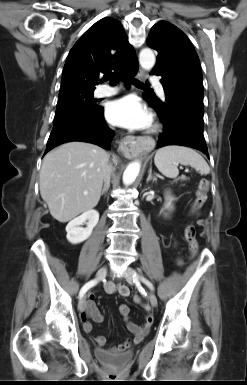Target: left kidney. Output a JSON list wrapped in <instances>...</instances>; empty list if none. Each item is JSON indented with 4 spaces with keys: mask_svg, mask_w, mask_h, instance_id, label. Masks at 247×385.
Listing matches in <instances>:
<instances>
[{
    "mask_svg": "<svg viewBox=\"0 0 247 385\" xmlns=\"http://www.w3.org/2000/svg\"><path fill=\"white\" fill-rule=\"evenodd\" d=\"M165 200H166L165 205H164L165 209L172 210V208H173V206H172L173 198L169 194H166L165 195Z\"/></svg>",
    "mask_w": 247,
    "mask_h": 385,
    "instance_id": "5707ae66",
    "label": "left kidney"
}]
</instances>
